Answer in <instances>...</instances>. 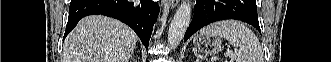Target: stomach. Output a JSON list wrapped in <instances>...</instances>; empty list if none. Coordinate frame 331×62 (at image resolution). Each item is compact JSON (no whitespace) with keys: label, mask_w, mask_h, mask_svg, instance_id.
<instances>
[{"label":"stomach","mask_w":331,"mask_h":62,"mask_svg":"<svg viewBox=\"0 0 331 62\" xmlns=\"http://www.w3.org/2000/svg\"><path fill=\"white\" fill-rule=\"evenodd\" d=\"M194 47L197 51L215 55L222 50V41L219 37H208L198 35L193 40Z\"/></svg>","instance_id":"1"}]
</instances>
